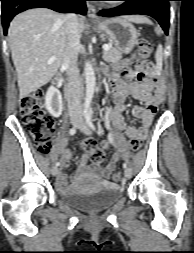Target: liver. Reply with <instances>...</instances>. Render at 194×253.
Returning a JSON list of instances; mask_svg holds the SVG:
<instances>
[{"label":"liver","instance_id":"liver-1","mask_svg":"<svg viewBox=\"0 0 194 253\" xmlns=\"http://www.w3.org/2000/svg\"><path fill=\"white\" fill-rule=\"evenodd\" d=\"M125 19L150 23L142 15H129ZM78 28L81 36L85 30L81 17L78 18ZM8 41L22 99L48 83L63 63L68 48L64 15L47 8L20 13L10 23ZM51 57L55 60L49 64Z\"/></svg>","mask_w":194,"mask_h":253}]
</instances>
